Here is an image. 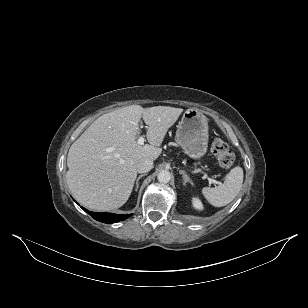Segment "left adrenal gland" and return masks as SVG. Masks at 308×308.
Masks as SVG:
<instances>
[{
  "label": "left adrenal gland",
  "instance_id": "left-adrenal-gland-1",
  "mask_svg": "<svg viewBox=\"0 0 308 308\" xmlns=\"http://www.w3.org/2000/svg\"><path fill=\"white\" fill-rule=\"evenodd\" d=\"M179 173L183 176V185L185 186L187 183H190L191 185H193L191 179L189 178V176L187 175V173L184 170H180Z\"/></svg>",
  "mask_w": 308,
  "mask_h": 308
}]
</instances>
